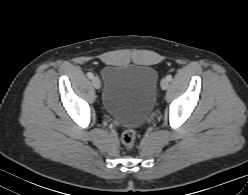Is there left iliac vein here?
Listing matches in <instances>:
<instances>
[{
    "label": "left iliac vein",
    "instance_id": "obj_1",
    "mask_svg": "<svg viewBox=\"0 0 248 195\" xmlns=\"http://www.w3.org/2000/svg\"><path fill=\"white\" fill-rule=\"evenodd\" d=\"M160 85H161V88H162V89H164V90L167 89L168 86H169V81L167 80V78H163V79L161 80Z\"/></svg>",
    "mask_w": 248,
    "mask_h": 195
}]
</instances>
